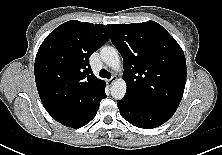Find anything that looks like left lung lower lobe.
Returning <instances> with one entry per match:
<instances>
[{"label":"left lung lower lobe","mask_w":222,"mask_h":155,"mask_svg":"<svg viewBox=\"0 0 222 155\" xmlns=\"http://www.w3.org/2000/svg\"><path fill=\"white\" fill-rule=\"evenodd\" d=\"M121 116L132 125L152 129L168 121L173 114L141 106L128 99L118 100Z\"/></svg>","instance_id":"1"}]
</instances>
